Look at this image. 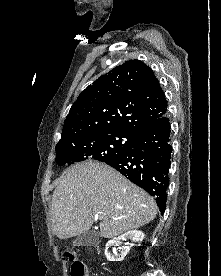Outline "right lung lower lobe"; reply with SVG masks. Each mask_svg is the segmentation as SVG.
<instances>
[{
    "mask_svg": "<svg viewBox=\"0 0 221 276\" xmlns=\"http://www.w3.org/2000/svg\"><path fill=\"white\" fill-rule=\"evenodd\" d=\"M170 132V121L165 115L135 135L127 152L105 162L155 197L161 214L166 208L169 186Z\"/></svg>",
    "mask_w": 221,
    "mask_h": 276,
    "instance_id": "98d812e1",
    "label": "right lung lower lobe"
}]
</instances>
